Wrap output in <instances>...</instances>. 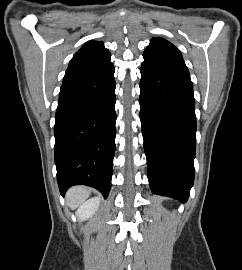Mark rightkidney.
Returning <instances> with one entry per match:
<instances>
[{"label":"right kidney","mask_w":242,"mask_h":270,"mask_svg":"<svg viewBox=\"0 0 242 270\" xmlns=\"http://www.w3.org/2000/svg\"><path fill=\"white\" fill-rule=\"evenodd\" d=\"M100 204L99 198H91L84 202L76 211V215L80 220H85L91 217L98 209Z\"/></svg>","instance_id":"1"}]
</instances>
